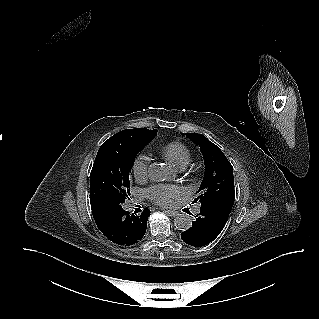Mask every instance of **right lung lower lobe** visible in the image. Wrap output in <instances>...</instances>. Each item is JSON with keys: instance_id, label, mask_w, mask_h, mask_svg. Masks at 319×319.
<instances>
[{"instance_id": "right-lung-lower-lobe-1", "label": "right lung lower lobe", "mask_w": 319, "mask_h": 319, "mask_svg": "<svg viewBox=\"0 0 319 319\" xmlns=\"http://www.w3.org/2000/svg\"><path fill=\"white\" fill-rule=\"evenodd\" d=\"M91 209L99 230L113 243L130 246L143 238L149 209H144L139 215L125 211L122 204L101 203Z\"/></svg>"}]
</instances>
